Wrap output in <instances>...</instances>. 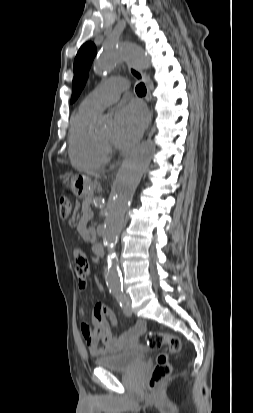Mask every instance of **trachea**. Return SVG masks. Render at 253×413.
Returning a JSON list of instances; mask_svg holds the SVG:
<instances>
[{
	"label": "trachea",
	"mask_w": 253,
	"mask_h": 413,
	"mask_svg": "<svg viewBox=\"0 0 253 413\" xmlns=\"http://www.w3.org/2000/svg\"><path fill=\"white\" fill-rule=\"evenodd\" d=\"M135 90H136V93L138 95H145L146 94V87L143 83H140V84L136 85Z\"/></svg>",
	"instance_id": "3493384b"
}]
</instances>
